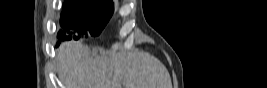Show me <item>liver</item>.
I'll use <instances>...</instances> for the list:
<instances>
[{"label": "liver", "instance_id": "liver-1", "mask_svg": "<svg viewBox=\"0 0 267 88\" xmlns=\"http://www.w3.org/2000/svg\"><path fill=\"white\" fill-rule=\"evenodd\" d=\"M56 61L64 88H172L166 67L139 50L94 57L81 42L67 41Z\"/></svg>", "mask_w": 267, "mask_h": 88}]
</instances>
